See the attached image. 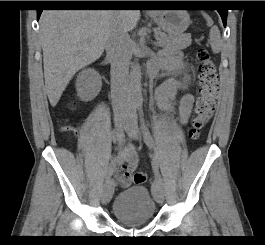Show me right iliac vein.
I'll return each mask as SVG.
<instances>
[{"instance_id":"1","label":"right iliac vein","mask_w":265,"mask_h":245,"mask_svg":"<svg viewBox=\"0 0 265 245\" xmlns=\"http://www.w3.org/2000/svg\"><path fill=\"white\" fill-rule=\"evenodd\" d=\"M115 126L118 129H124L126 127V122L123 118H117L115 120ZM114 193V182L113 180H107L103 187L102 201L108 203Z\"/></svg>"}]
</instances>
